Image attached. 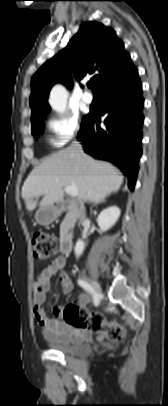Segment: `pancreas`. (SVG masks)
<instances>
[{"instance_id": "obj_1", "label": "pancreas", "mask_w": 168, "mask_h": 406, "mask_svg": "<svg viewBox=\"0 0 168 406\" xmlns=\"http://www.w3.org/2000/svg\"><path fill=\"white\" fill-rule=\"evenodd\" d=\"M71 214H72V213L69 212V213L66 215V217L64 218V220H63V222H62V224H61V227H60V233H61V234H62L63 231L67 228Z\"/></svg>"}]
</instances>
